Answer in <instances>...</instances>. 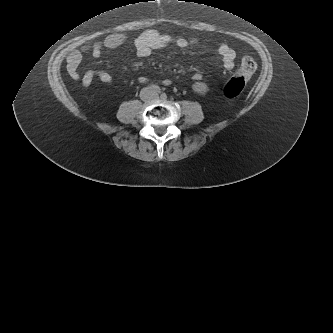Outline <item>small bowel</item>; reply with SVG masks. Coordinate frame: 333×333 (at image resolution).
I'll use <instances>...</instances> for the list:
<instances>
[{"label": "small bowel", "mask_w": 333, "mask_h": 333, "mask_svg": "<svg viewBox=\"0 0 333 333\" xmlns=\"http://www.w3.org/2000/svg\"><path fill=\"white\" fill-rule=\"evenodd\" d=\"M128 42L124 34L115 33L107 36L101 42H96L91 45L83 46L81 49H70L65 54L66 69L68 75L73 80H80L83 87H89L95 78L99 79L106 85L113 83V77L110 73L104 70H88L83 75L78 71L79 64L82 60V53L88 52L94 58H99L102 55L103 49H114L124 43ZM136 54L140 58L148 57L154 49L164 48L167 46H176L184 50H190L193 47V41L187 37H164L161 34L147 33L138 36L131 40ZM217 52L221 59L222 65L226 70H232L235 66V51L228 45L222 44L218 47ZM194 81H200L202 74L196 72L192 75ZM140 83L146 82L145 77H140ZM164 84H171L170 80H165Z\"/></svg>", "instance_id": "obj_1"}]
</instances>
